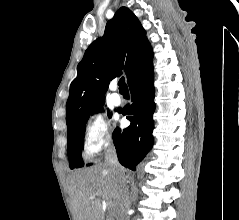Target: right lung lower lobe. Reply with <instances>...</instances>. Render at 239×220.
Returning <instances> with one entry per match:
<instances>
[{
	"label": "right lung lower lobe",
	"instance_id": "98d812e1",
	"mask_svg": "<svg viewBox=\"0 0 239 220\" xmlns=\"http://www.w3.org/2000/svg\"><path fill=\"white\" fill-rule=\"evenodd\" d=\"M128 85L131 103L124 107L122 113L131 124L123 130L117 127L113 140L119 162L134 171L153 145L155 94L152 64L132 76Z\"/></svg>",
	"mask_w": 239,
	"mask_h": 220
}]
</instances>
